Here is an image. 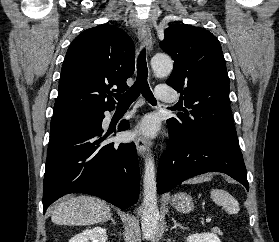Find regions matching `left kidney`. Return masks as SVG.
I'll return each instance as SVG.
<instances>
[{
    "instance_id": "left-kidney-1",
    "label": "left kidney",
    "mask_w": 279,
    "mask_h": 242,
    "mask_svg": "<svg viewBox=\"0 0 279 242\" xmlns=\"http://www.w3.org/2000/svg\"><path fill=\"white\" fill-rule=\"evenodd\" d=\"M187 242H221L215 233H195L187 237Z\"/></svg>"
}]
</instances>
